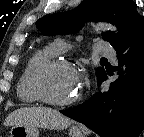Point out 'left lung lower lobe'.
Wrapping results in <instances>:
<instances>
[{
  "mask_svg": "<svg viewBox=\"0 0 144 137\" xmlns=\"http://www.w3.org/2000/svg\"><path fill=\"white\" fill-rule=\"evenodd\" d=\"M119 78L107 91L61 113L101 137H137L144 127V21L117 47ZM107 79V74L99 84Z\"/></svg>",
  "mask_w": 144,
  "mask_h": 137,
  "instance_id": "obj_1",
  "label": "left lung lower lobe"
}]
</instances>
